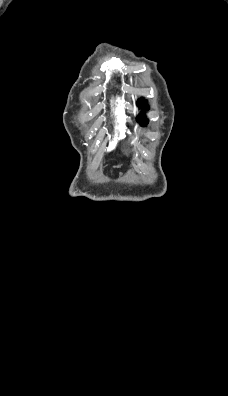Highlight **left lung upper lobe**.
I'll list each match as a JSON object with an SVG mask.
<instances>
[{"instance_id": "5c2ea615", "label": "left lung upper lobe", "mask_w": 228, "mask_h": 396, "mask_svg": "<svg viewBox=\"0 0 228 396\" xmlns=\"http://www.w3.org/2000/svg\"><path fill=\"white\" fill-rule=\"evenodd\" d=\"M137 103H138L139 107H145L147 101L142 98V99H139ZM137 121L140 123L141 126H146L148 124V119L146 118V116L144 114L138 115Z\"/></svg>"}]
</instances>
